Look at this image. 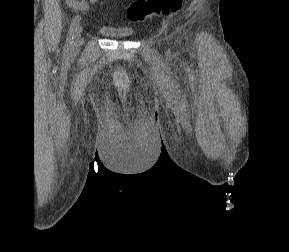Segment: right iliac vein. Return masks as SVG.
I'll return each mask as SVG.
<instances>
[{"label":"right iliac vein","mask_w":289,"mask_h":252,"mask_svg":"<svg viewBox=\"0 0 289 252\" xmlns=\"http://www.w3.org/2000/svg\"><path fill=\"white\" fill-rule=\"evenodd\" d=\"M81 34H82V26L78 25L75 31V35H74V42H73V47H72L73 53H76L79 51L80 44H81Z\"/></svg>","instance_id":"right-iliac-vein-1"}]
</instances>
